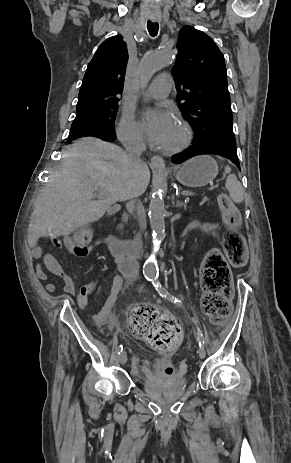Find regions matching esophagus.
<instances>
[{
  "label": "esophagus",
  "instance_id": "34e87169",
  "mask_svg": "<svg viewBox=\"0 0 291 463\" xmlns=\"http://www.w3.org/2000/svg\"><path fill=\"white\" fill-rule=\"evenodd\" d=\"M151 165L154 167L163 168L165 167V162L162 157L155 155L151 158Z\"/></svg>",
  "mask_w": 291,
  "mask_h": 463
}]
</instances>
